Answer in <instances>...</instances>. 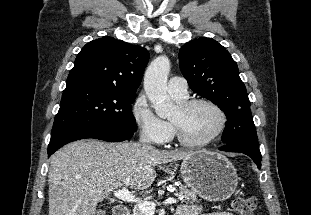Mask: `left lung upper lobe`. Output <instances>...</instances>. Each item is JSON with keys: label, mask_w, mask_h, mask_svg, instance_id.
<instances>
[{"label": "left lung upper lobe", "mask_w": 311, "mask_h": 215, "mask_svg": "<svg viewBox=\"0 0 311 215\" xmlns=\"http://www.w3.org/2000/svg\"><path fill=\"white\" fill-rule=\"evenodd\" d=\"M179 66L190 88L225 113L222 141L258 147L248 94L225 47L211 38L192 40L181 47Z\"/></svg>", "instance_id": "5c2ea615"}]
</instances>
